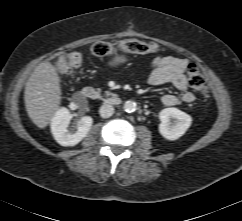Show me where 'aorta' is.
<instances>
[{
  "mask_svg": "<svg viewBox=\"0 0 242 221\" xmlns=\"http://www.w3.org/2000/svg\"><path fill=\"white\" fill-rule=\"evenodd\" d=\"M124 110L128 113H132L136 110V103L133 101H126L123 106Z\"/></svg>",
  "mask_w": 242,
  "mask_h": 221,
  "instance_id": "aorta-1",
  "label": "aorta"
}]
</instances>
